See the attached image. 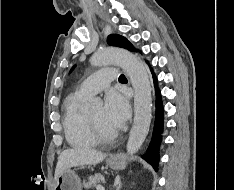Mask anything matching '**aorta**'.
Here are the masks:
<instances>
[{
  "instance_id": "aorta-1",
  "label": "aorta",
  "mask_w": 234,
  "mask_h": 190,
  "mask_svg": "<svg viewBox=\"0 0 234 190\" xmlns=\"http://www.w3.org/2000/svg\"><path fill=\"white\" fill-rule=\"evenodd\" d=\"M91 63L103 66L115 63L121 66L130 78L134 88V124L129 134L126 150L130 155L142 146L151 123L152 97L148 72L139 58L119 48H103L95 52ZM99 99H94L98 103Z\"/></svg>"
}]
</instances>
